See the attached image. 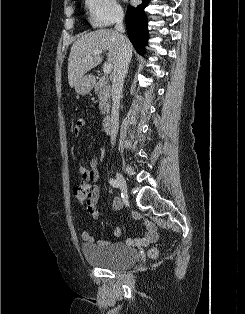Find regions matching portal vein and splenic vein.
<instances>
[{
	"mask_svg": "<svg viewBox=\"0 0 245 314\" xmlns=\"http://www.w3.org/2000/svg\"><path fill=\"white\" fill-rule=\"evenodd\" d=\"M102 52H103L102 50H95L92 52V54H101ZM112 69H113L112 63L108 62V63L104 64V66H103V72L105 75L110 74Z\"/></svg>",
	"mask_w": 245,
	"mask_h": 314,
	"instance_id": "obj_1",
	"label": "portal vein and splenic vein"
}]
</instances>
